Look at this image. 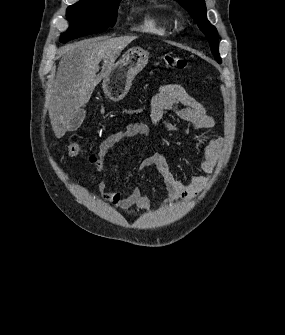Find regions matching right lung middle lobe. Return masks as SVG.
<instances>
[{"label":"right lung middle lobe","instance_id":"1","mask_svg":"<svg viewBox=\"0 0 285 335\" xmlns=\"http://www.w3.org/2000/svg\"><path fill=\"white\" fill-rule=\"evenodd\" d=\"M118 4H106L93 0H82L67 8V19L70 28L61 37V42L94 34L114 26L117 17Z\"/></svg>","mask_w":285,"mask_h":335}]
</instances>
